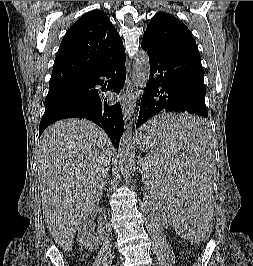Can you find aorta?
<instances>
[{"mask_svg":"<svg viewBox=\"0 0 253 266\" xmlns=\"http://www.w3.org/2000/svg\"><path fill=\"white\" fill-rule=\"evenodd\" d=\"M135 63L132 70V81L134 86L146 87L150 76V63L147 52L141 50L136 53ZM140 96V93L137 97ZM129 124L126 125L118 148L119 169L123 178L130 179L135 170V147L131 134L132 125L135 121V114L132 115Z\"/></svg>","mask_w":253,"mask_h":266,"instance_id":"1","label":"aorta"}]
</instances>
